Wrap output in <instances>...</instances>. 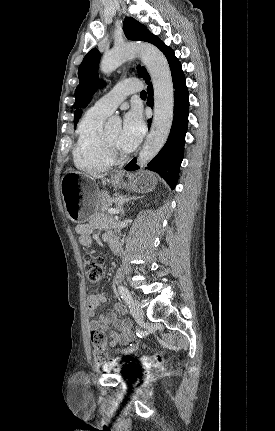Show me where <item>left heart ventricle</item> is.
Wrapping results in <instances>:
<instances>
[{"label":"left heart ventricle","mask_w":275,"mask_h":431,"mask_svg":"<svg viewBox=\"0 0 275 431\" xmlns=\"http://www.w3.org/2000/svg\"><path fill=\"white\" fill-rule=\"evenodd\" d=\"M120 132L121 129L120 127L112 130L111 132L106 134V138L109 140V142H111L117 150H119L120 152H124L119 146H118V139L120 136Z\"/></svg>","instance_id":"b2bd125f"}]
</instances>
